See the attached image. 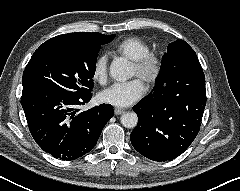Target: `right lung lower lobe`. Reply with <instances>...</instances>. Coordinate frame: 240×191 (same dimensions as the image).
<instances>
[{"label":"right lung lower lobe","mask_w":240,"mask_h":191,"mask_svg":"<svg viewBox=\"0 0 240 191\" xmlns=\"http://www.w3.org/2000/svg\"><path fill=\"white\" fill-rule=\"evenodd\" d=\"M91 97L49 86H23L21 104L36 143L60 160H75L91 151L114 115L113 107L104 104L80 112L78 106Z\"/></svg>","instance_id":"obj_1"}]
</instances>
